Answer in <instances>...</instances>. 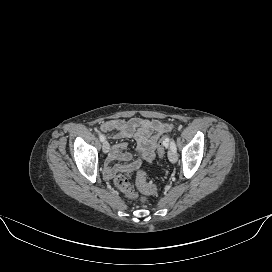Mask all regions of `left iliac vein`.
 I'll use <instances>...</instances> for the list:
<instances>
[{
	"mask_svg": "<svg viewBox=\"0 0 272 272\" xmlns=\"http://www.w3.org/2000/svg\"><path fill=\"white\" fill-rule=\"evenodd\" d=\"M168 158H169L170 162H172V163H175L178 159L176 152H174L171 149L168 152Z\"/></svg>",
	"mask_w": 272,
	"mask_h": 272,
	"instance_id": "left-iliac-vein-1",
	"label": "left iliac vein"
}]
</instances>
